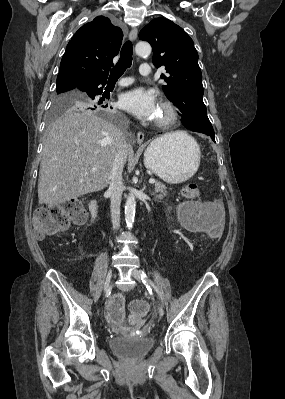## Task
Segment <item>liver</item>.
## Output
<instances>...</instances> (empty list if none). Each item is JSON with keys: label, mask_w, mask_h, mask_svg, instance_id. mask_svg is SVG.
<instances>
[{"label": "liver", "mask_w": 285, "mask_h": 399, "mask_svg": "<svg viewBox=\"0 0 285 399\" xmlns=\"http://www.w3.org/2000/svg\"><path fill=\"white\" fill-rule=\"evenodd\" d=\"M184 135L177 131L163 138L180 139ZM123 136L113 124L89 111L71 109L56 120L44 142L39 203L54 206L106 188ZM131 153L132 147L126 144V159Z\"/></svg>", "instance_id": "obj_1"}]
</instances>
